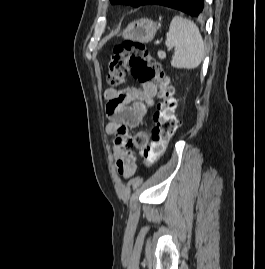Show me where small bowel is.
<instances>
[{
    "mask_svg": "<svg viewBox=\"0 0 265 269\" xmlns=\"http://www.w3.org/2000/svg\"><path fill=\"white\" fill-rule=\"evenodd\" d=\"M157 87L153 82H144L140 88L126 87L124 89L107 88L103 92L106 100V114L110 122L106 130L114 135L113 152L117 170L124 178L131 177L136 169L137 150L148 141L146 133L141 132L132 139L128 132L137 128L145 114L154 105ZM135 148H132L133 144Z\"/></svg>",
    "mask_w": 265,
    "mask_h": 269,
    "instance_id": "1",
    "label": "small bowel"
}]
</instances>
